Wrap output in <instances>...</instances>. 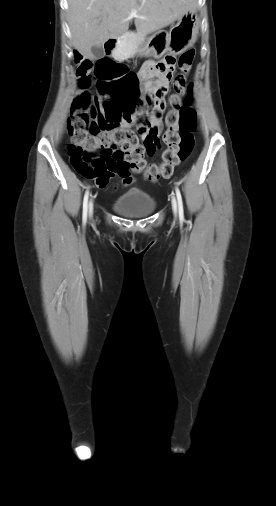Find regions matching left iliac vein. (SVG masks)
Returning a JSON list of instances; mask_svg holds the SVG:
<instances>
[{
	"instance_id": "obj_1",
	"label": "left iliac vein",
	"mask_w": 276,
	"mask_h": 506,
	"mask_svg": "<svg viewBox=\"0 0 276 506\" xmlns=\"http://www.w3.org/2000/svg\"><path fill=\"white\" fill-rule=\"evenodd\" d=\"M172 208H173V212L175 214H177V201L174 196H172Z\"/></svg>"
}]
</instances>
